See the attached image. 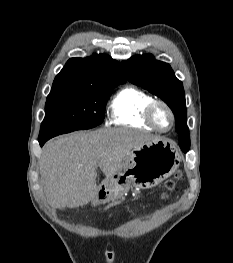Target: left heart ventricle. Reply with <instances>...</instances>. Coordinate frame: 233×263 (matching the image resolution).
Listing matches in <instances>:
<instances>
[{
  "label": "left heart ventricle",
  "mask_w": 233,
  "mask_h": 263,
  "mask_svg": "<svg viewBox=\"0 0 233 263\" xmlns=\"http://www.w3.org/2000/svg\"><path fill=\"white\" fill-rule=\"evenodd\" d=\"M155 120L161 128H168L170 125V115L162 106H158L155 110Z\"/></svg>",
  "instance_id": "obj_1"
}]
</instances>
